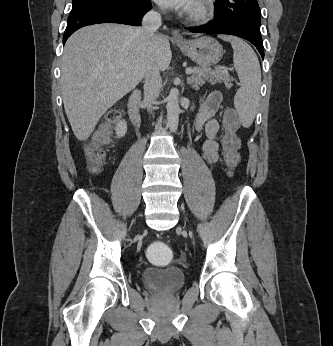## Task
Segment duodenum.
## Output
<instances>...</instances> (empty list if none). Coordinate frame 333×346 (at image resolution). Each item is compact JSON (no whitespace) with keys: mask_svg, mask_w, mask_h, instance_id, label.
I'll return each instance as SVG.
<instances>
[{"mask_svg":"<svg viewBox=\"0 0 333 346\" xmlns=\"http://www.w3.org/2000/svg\"><path fill=\"white\" fill-rule=\"evenodd\" d=\"M142 97V92L139 89L134 90L128 101V112L132 123L135 126L141 124V114H140V101Z\"/></svg>","mask_w":333,"mask_h":346,"instance_id":"obj_1","label":"duodenum"}]
</instances>
